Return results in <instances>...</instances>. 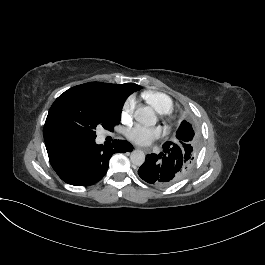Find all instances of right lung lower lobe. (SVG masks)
Instances as JSON below:
<instances>
[{
    "label": "right lung lower lobe",
    "mask_w": 265,
    "mask_h": 265,
    "mask_svg": "<svg viewBox=\"0 0 265 265\" xmlns=\"http://www.w3.org/2000/svg\"><path fill=\"white\" fill-rule=\"evenodd\" d=\"M132 144L114 140L111 147L97 145L95 140L71 144L49 156L59 177L74 186H89L101 180L107 172L109 159L114 153L131 152Z\"/></svg>",
    "instance_id": "1"
}]
</instances>
